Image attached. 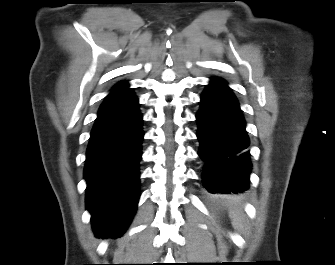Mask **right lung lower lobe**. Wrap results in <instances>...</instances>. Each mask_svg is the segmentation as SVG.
Wrapping results in <instances>:
<instances>
[{
    "label": "right lung lower lobe",
    "instance_id": "1",
    "mask_svg": "<svg viewBox=\"0 0 335 265\" xmlns=\"http://www.w3.org/2000/svg\"><path fill=\"white\" fill-rule=\"evenodd\" d=\"M142 115L131 89L102 103L86 153V206L97 237L121 236L139 199Z\"/></svg>",
    "mask_w": 335,
    "mask_h": 265
}]
</instances>
